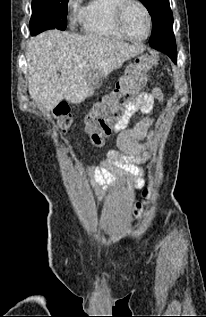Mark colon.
I'll return each mask as SVG.
<instances>
[{"label": "colon", "mask_w": 206, "mask_h": 317, "mask_svg": "<svg viewBox=\"0 0 206 317\" xmlns=\"http://www.w3.org/2000/svg\"><path fill=\"white\" fill-rule=\"evenodd\" d=\"M156 60L151 56L140 58L135 64L130 65L125 74L119 79L115 89L97 103L85 118L86 131L94 147L101 146L104 138L108 136L120 119L123 117L128 104L137 97L140 90L148 81V72L154 67ZM62 130L70 126L71 117L67 105H59L55 109ZM147 191L144 195L147 196ZM141 204L136 205V212L141 209Z\"/></svg>", "instance_id": "1"}]
</instances>
